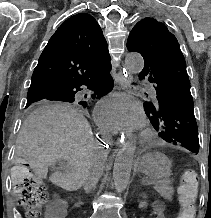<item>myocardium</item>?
Wrapping results in <instances>:
<instances>
[{"instance_id": "myocardium-1", "label": "myocardium", "mask_w": 211, "mask_h": 218, "mask_svg": "<svg viewBox=\"0 0 211 218\" xmlns=\"http://www.w3.org/2000/svg\"><path fill=\"white\" fill-rule=\"evenodd\" d=\"M153 139V134L152 132L146 130L143 131L139 137H138V142L142 145H149L152 142Z\"/></svg>"}]
</instances>
